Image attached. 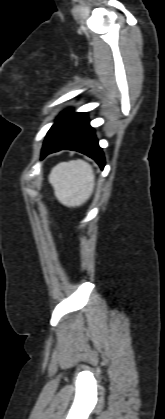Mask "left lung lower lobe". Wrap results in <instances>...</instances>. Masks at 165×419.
Returning a JSON list of instances; mask_svg holds the SVG:
<instances>
[{
  "instance_id": "1",
  "label": "left lung lower lobe",
  "mask_w": 165,
  "mask_h": 419,
  "mask_svg": "<svg viewBox=\"0 0 165 419\" xmlns=\"http://www.w3.org/2000/svg\"><path fill=\"white\" fill-rule=\"evenodd\" d=\"M64 149L81 152L104 168V155L86 113L68 112L61 117L47 133L41 158Z\"/></svg>"
}]
</instances>
